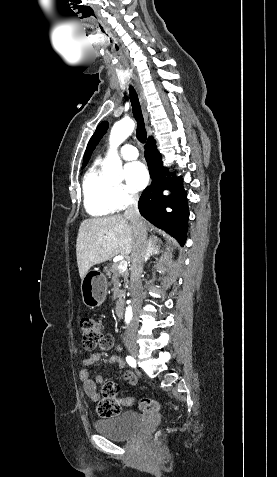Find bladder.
Here are the masks:
<instances>
[{
  "instance_id": "bladder-1",
  "label": "bladder",
  "mask_w": 277,
  "mask_h": 477,
  "mask_svg": "<svg viewBox=\"0 0 277 477\" xmlns=\"http://www.w3.org/2000/svg\"><path fill=\"white\" fill-rule=\"evenodd\" d=\"M142 425V416L135 411H124L98 419L95 430L112 440H126L134 436Z\"/></svg>"
}]
</instances>
